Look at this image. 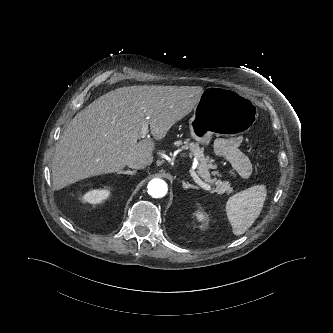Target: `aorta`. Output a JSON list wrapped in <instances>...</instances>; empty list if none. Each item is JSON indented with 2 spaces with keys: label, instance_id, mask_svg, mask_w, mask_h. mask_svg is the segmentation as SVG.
Segmentation results:
<instances>
[{
  "label": "aorta",
  "instance_id": "aorta-1",
  "mask_svg": "<svg viewBox=\"0 0 333 333\" xmlns=\"http://www.w3.org/2000/svg\"><path fill=\"white\" fill-rule=\"evenodd\" d=\"M148 194L153 198H162L167 194L168 186L167 183L159 178L152 179L148 183Z\"/></svg>",
  "mask_w": 333,
  "mask_h": 333
}]
</instances>
